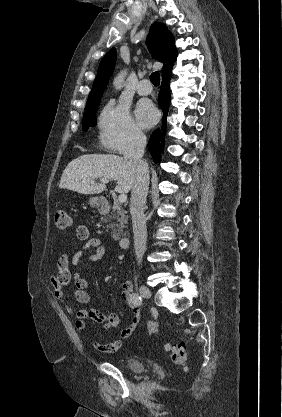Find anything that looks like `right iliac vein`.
I'll list each match as a JSON object with an SVG mask.
<instances>
[{
    "label": "right iliac vein",
    "mask_w": 282,
    "mask_h": 417,
    "mask_svg": "<svg viewBox=\"0 0 282 417\" xmlns=\"http://www.w3.org/2000/svg\"><path fill=\"white\" fill-rule=\"evenodd\" d=\"M139 291L144 298H150L152 296L151 290L145 285H141Z\"/></svg>",
    "instance_id": "63e3f726"
}]
</instances>
